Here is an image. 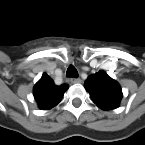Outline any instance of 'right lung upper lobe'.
<instances>
[{"label": "right lung upper lobe", "mask_w": 145, "mask_h": 145, "mask_svg": "<svg viewBox=\"0 0 145 145\" xmlns=\"http://www.w3.org/2000/svg\"><path fill=\"white\" fill-rule=\"evenodd\" d=\"M68 89L66 84L56 86L53 80L44 73L33 89L34 98L41 110H49L56 106Z\"/></svg>", "instance_id": "right-lung-upper-lobe-1"}]
</instances>
